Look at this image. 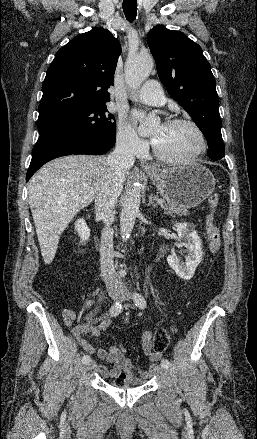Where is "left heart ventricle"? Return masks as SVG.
I'll use <instances>...</instances> for the list:
<instances>
[{
  "label": "left heart ventricle",
  "mask_w": 257,
  "mask_h": 439,
  "mask_svg": "<svg viewBox=\"0 0 257 439\" xmlns=\"http://www.w3.org/2000/svg\"><path fill=\"white\" fill-rule=\"evenodd\" d=\"M156 145L166 155L187 157L199 148V138L189 125H157L151 132Z\"/></svg>",
  "instance_id": "obj_1"
}]
</instances>
